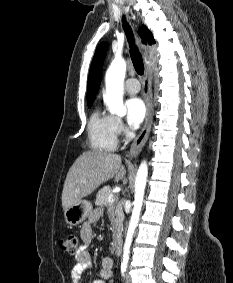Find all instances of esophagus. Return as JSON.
<instances>
[{
	"mask_svg": "<svg viewBox=\"0 0 233 283\" xmlns=\"http://www.w3.org/2000/svg\"><path fill=\"white\" fill-rule=\"evenodd\" d=\"M151 84H152V71L148 63L146 62V69H145V77L143 82V92H144V101L146 104V116L144 125L138 134V136L133 141L130 151H129V157H135L139 154L141 149L143 148L144 144L146 143L150 130L151 125L153 121V104H152V90H151Z\"/></svg>",
	"mask_w": 233,
	"mask_h": 283,
	"instance_id": "obj_1",
	"label": "esophagus"
}]
</instances>
